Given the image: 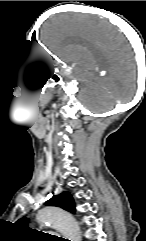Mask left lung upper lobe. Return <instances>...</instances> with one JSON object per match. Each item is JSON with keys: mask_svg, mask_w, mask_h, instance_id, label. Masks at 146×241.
<instances>
[{"mask_svg": "<svg viewBox=\"0 0 146 241\" xmlns=\"http://www.w3.org/2000/svg\"><path fill=\"white\" fill-rule=\"evenodd\" d=\"M46 205L58 206L69 212H75V203L69 192H63L57 196H53L46 202ZM19 222L26 227L28 224V219L21 218Z\"/></svg>", "mask_w": 146, "mask_h": 241, "instance_id": "5c2ea615", "label": "left lung upper lobe"}]
</instances>
